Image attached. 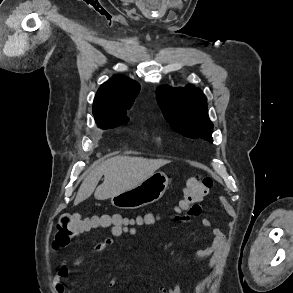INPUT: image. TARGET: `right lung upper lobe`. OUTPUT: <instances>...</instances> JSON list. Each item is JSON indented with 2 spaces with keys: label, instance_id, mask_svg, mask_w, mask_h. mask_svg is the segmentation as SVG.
<instances>
[{
  "label": "right lung upper lobe",
  "instance_id": "cb5924a9",
  "mask_svg": "<svg viewBox=\"0 0 293 293\" xmlns=\"http://www.w3.org/2000/svg\"><path fill=\"white\" fill-rule=\"evenodd\" d=\"M140 91V86L130 78L115 75L99 88L93 103L95 119L125 115Z\"/></svg>",
  "mask_w": 293,
  "mask_h": 293
}]
</instances>
